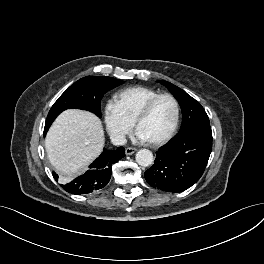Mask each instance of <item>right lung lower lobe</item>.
<instances>
[{
  "mask_svg": "<svg viewBox=\"0 0 264 264\" xmlns=\"http://www.w3.org/2000/svg\"><path fill=\"white\" fill-rule=\"evenodd\" d=\"M48 129H44V136ZM125 156V149L119 147L117 150L103 149L101 155L89 166V169L73 181L61 185V187L72 194H87L99 190L107 185L111 178L112 165ZM55 180L57 174L53 173Z\"/></svg>",
  "mask_w": 264,
  "mask_h": 264,
  "instance_id": "right-lung-lower-lobe-1",
  "label": "right lung lower lobe"
}]
</instances>
